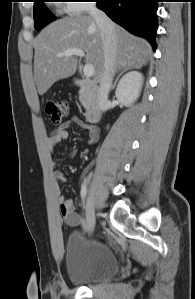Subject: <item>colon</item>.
Segmentation results:
<instances>
[{
	"label": "colon",
	"instance_id": "5ec220e1",
	"mask_svg": "<svg viewBox=\"0 0 195 299\" xmlns=\"http://www.w3.org/2000/svg\"><path fill=\"white\" fill-rule=\"evenodd\" d=\"M46 112L52 123L59 124L69 113V104L64 100H49L46 103Z\"/></svg>",
	"mask_w": 195,
	"mask_h": 299
}]
</instances>
